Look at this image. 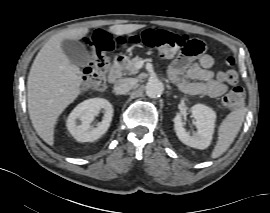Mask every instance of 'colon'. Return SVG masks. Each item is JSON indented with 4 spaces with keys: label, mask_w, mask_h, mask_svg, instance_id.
Masks as SVG:
<instances>
[{
    "label": "colon",
    "mask_w": 270,
    "mask_h": 213,
    "mask_svg": "<svg viewBox=\"0 0 270 213\" xmlns=\"http://www.w3.org/2000/svg\"><path fill=\"white\" fill-rule=\"evenodd\" d=\"M116 40L120 42L122 38L118 37ZM130 41L132 43L141 42L147 47L157 48L161 54L169 56L179 52L187 56H195L203 50L201 40L164 29H147L140 36L133 35ZM85 42L90 48L92 61L84 72L83 86L92 90H102L105 87V76L109 67L108 53L114 46V39L106 30L98 29L92 32ZM226 61L229 65L234 64L232 56H228ZM220 77L228 83H234L238 76L234 70L229 69L222 72ZM243 95L242 87L232 88L222 98L223 107L229 110L236 109L241 104Z\"/></svg>",
    "instance_id": "colon-1"
}]
</instances>
